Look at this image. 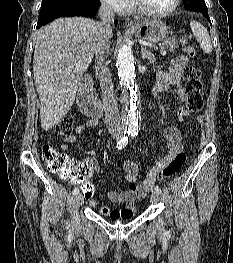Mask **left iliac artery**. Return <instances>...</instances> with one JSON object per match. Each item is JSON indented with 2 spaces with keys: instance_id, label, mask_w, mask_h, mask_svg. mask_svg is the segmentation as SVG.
<instances>
[{
  "instance_id": "1",
  "label": "left iliac artery",
  "mask_w": 233,
  "mask_h": 263,
  "mask_svg": "<svg viewBox=\"0 0 233 263\" xmlns=\"http://www.w3.org/2000/svg\"><path fill=\"white\" fill-rule=\"evenodd\" d=\"M135 135H137L135 131L131 132V137H134ZM155 191L161 193V188L159 186H155Z\"/></svg>"
}]
</instances>
